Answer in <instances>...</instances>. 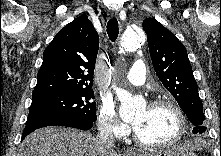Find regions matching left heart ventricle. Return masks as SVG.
<instances>
[{"instance_id": "b2bd125f", "label": "left heart ventricle", "mask_w": 221, "mask_h": 156, "mask_svg": "<svg viewBox=\"0 0 221 156\" xmlns=\"http://www.w3.org/2000/svg\"><path fill=\"white\" fill-rule=\"evenodd\" d=\"M133 124L138 135L150 143H163L177 133L179 122L174 111L168 107H146L136 113Z\"/></svg>"}]
</instances>
